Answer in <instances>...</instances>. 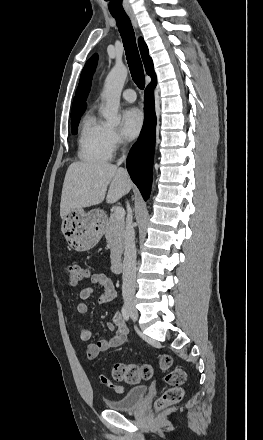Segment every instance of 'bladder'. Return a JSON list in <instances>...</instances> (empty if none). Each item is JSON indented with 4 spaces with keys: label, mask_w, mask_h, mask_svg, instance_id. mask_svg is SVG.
I'll use <instances>...</instances> for the list:
<instances>
[{
    "label": "bladder",
    "mask_w": 263,
    "mask_h": 440,
    "mask_svg": "<svg viewBox=\"0 0 263 440\" xmlns=\"http://www.w3.org/2000/svg\"><path fill=\"white\" fill-rule=\"evenodd\" d=\"M148 388L144 385L129 389L122 397L106 399L105 405L111 410L131 411L144 399Z\"/></svg>",
    "instance_id": "obj_1"
}]
</instances>
